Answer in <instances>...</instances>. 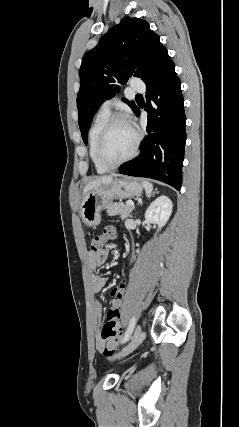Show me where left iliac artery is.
Segmentation results:
<instances>
[{
  "label": "left iliac artery",
  "instance_id": "obj_1",
  "mask_svg": "<svg viewBox=\"0 0 239 427\" xmlns=\"http://www.w3.org/2000/svg\"><path fill=\"white\" fill-rule=\"evenodd\" d=\"M135 323H136V319L133 317V318L130 320L129 326H128L127 330H126V333H125V336H124V338H123L122 343H125L126 341H128V340H129V338H130V336H131V334H132V332H133V330H134Z\"/></svg>",
  "mask_w": 239,
  "mask_h": 427
}]
</instances>
